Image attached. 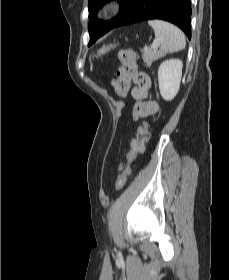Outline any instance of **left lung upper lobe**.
Wrapping results in <instances>:
<instances>
[{
	"label": "left lung upper lobe",
	"instance_id": "5c2ea615",
	"mask_svg": "<svg viewBox=\"0 0 229 280\" xmlns=\"http://www.w3.org/2000/svg\"><path fill=\"white\" fill-rule=\"evenodd\" d=\"M110 0H88L89 18L88 31L90 34L89 45L93 44L99 37L113 29L120 19L127 13L134 0H118L121 2L120 14L111 21H95L98 9Z\"/></svg>",
	"mask_w": 229,
	"mask_h": 280
}]
</instances>
